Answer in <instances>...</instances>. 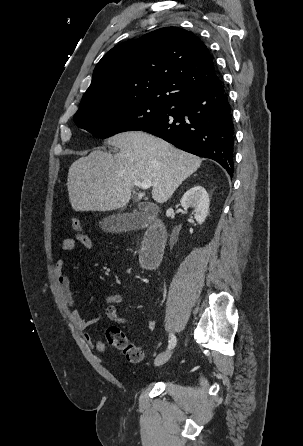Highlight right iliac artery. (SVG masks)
<instances>
[{
  "mask_svg": "<svg viewBox=\"0 0 303 446\" xmlns=\"http://www.w3.org/2000/svg\"><path fill=\"white\" fill-rule=\"evenodd\" d=\"M176 345V337L174 334H169V345H168V349H172L174 348Z\"/></svg>",
  "mask_w": 303,
  "mask_h": 446,
  "instance_id": "obj_1",
  "label": "right iliac artery"
}]
</instances>
